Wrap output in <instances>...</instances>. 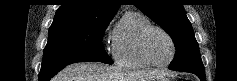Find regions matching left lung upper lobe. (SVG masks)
<instances>
[{
    "label": "left lung upper lobe",
    "mask_w": 237,
    "mask_h": 81,
    "mask_svg": "<svg viewBox=\"0 0 237 81\" xmlns=\"http://www.w3.org/2000/svg\"><path fill=\"white\" fill-rule=\"evenodd\" d=\"M135 6L172 38L176 53L169 69L204 73L198 43L183 5L178 0H134Z\"/></svg>",
    "instance_id": "left-lung-upper-lobe-1"
}]
</instances>
